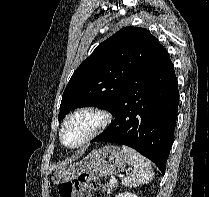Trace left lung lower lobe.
<instances>
[{
  "label": "left lung lower lobe",
  "instance_id": "obj_1",
  "mask_svg": "<svg viewBox=\"0 0 209 197\" xmlns=\"http://www.w3.org/2000/svg\"><path fill=\"white\" fill-rule=\"evenodd\" d=\"M179 91L174 66L166 49L144 76L130 87L113 110L114 122L95 141L134 148L165 173L173 143Z\"/></svg>",
  "mask_w": 209,
  "mask_h": 197
}]
</instances>
